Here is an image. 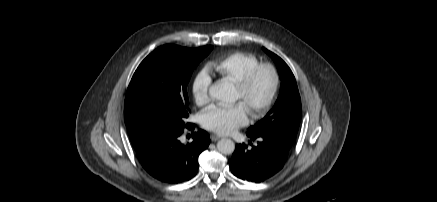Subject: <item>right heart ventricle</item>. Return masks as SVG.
I'll return each instance as SVG.
<instances>
[{"label": "right heart ventricle", "mask_w": 437, "mask_h": 202, "mask_svg": "<svg viewBox=\"0 0 437 202\" xmlns=\"http://www.w3.org/2000/svg\"><path fill=\"white\" fill-rule=\"evenodd\" d=\"M258 63L259 60L255 55L237 51L210 61L207 67L217 72L222 78L236 83Z\"/></svg>", "instance_id": "obj_1"}]
</instances>
